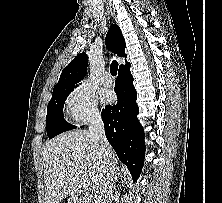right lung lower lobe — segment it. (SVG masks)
Masks as SVG:
<instances>
[{
  "mask_svg": "<svg viewBox=\"0 0 222 203\" xmlns=\"http://www.w3.org/2000/svg\"><path fill=\"white\" fill-rule=\"evenodd\" d=\"M114 90L117 103L106 106L101 113L105 135L136 181L144 162L145 142L143 128L137 119L139 111L130 65L119 69Z\"/></svg>",
  "mask_w": 222,
  "mask_h": 203,
  "instance_id": "obj_1",
  "label": "right lung lower lobe"
}]
</instances>
